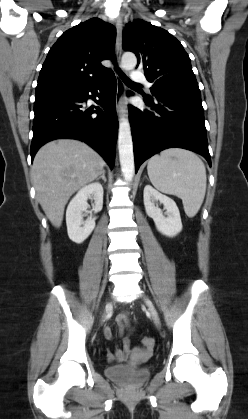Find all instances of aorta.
<instances>
[{
	"label": "aorta",
	"mask_w": 248,
	"mask_h": 419,
	"mask_svg": "<svg viewBox=\"0 0 248 419\" xmlns=\"http://www.w3.org/2000/svg\"><path fill=\"white\" fill-rule=\"evenodd\" d=\"M137 64L134 53L126 52L121 59V67L125 70H132ZM119 160L122 174L126 182H131L135 174L133 142L128 115L121 110L118 130Z\"/></svg>",
	"instance_id": "762f6f07"
}]
</instances>
